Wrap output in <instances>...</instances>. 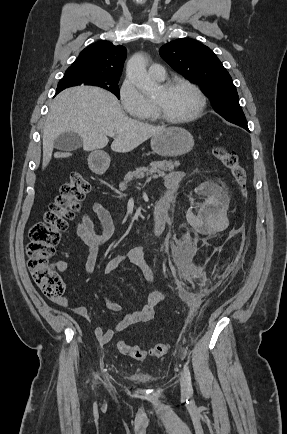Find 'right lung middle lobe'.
Segmentation results:
<instances>
[{"instance_id": "obj_1", "label": "right lung middle lobe", "mask_w": 287, "mask_h": 434, "mask_svg": "<svg viewBox=\"0 0 287 434\" xmlns=\"http://www.w3.org/2000/svg\"><path fill=\"white\" fill-rule=\"evenodd\" d=\"M119 78L97 77L75 71H66L64 77L59 81L57 89H65L75 85H93L112 92L120 99Z\"/></svg>"}]
</instances>
